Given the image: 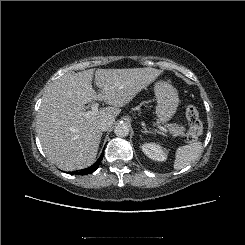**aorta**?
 <instances>
[{"label": "aorta", "instance_id": "aorta-1", "mask_svg": "<svg viewBox=\"0 0 245 245\" xmlns=\"http://www.w3.org/2000/svg\"><path fill=\"white\" fill-rule=\"evenodd\" d=\"M130 126L126 122H119L114 128V133L118 137H126L129 134Z\"/></svg>", "mask_w": 245, "mask_h": 245}]
</instances>
